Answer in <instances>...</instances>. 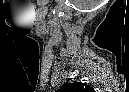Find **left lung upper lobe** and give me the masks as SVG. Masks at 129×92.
<instances>
[{"label": "left lung upper lobe", "instance_id": "left-lung-upper-lobe-1", "mask_svg": "<svg viewBox=\"0 0 129 92\" xmlns=\"http://www.w3.org/2000/svg\"><path fill=\"white\" fill-rule=\"evenodd\" d=\"M59 92H93V89L79 82L65 84Z\"/></svg>", "mask_w": 129, "mask_h": 92}]
</instances>
